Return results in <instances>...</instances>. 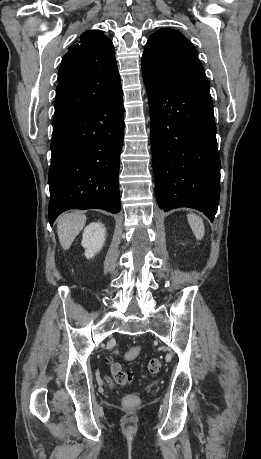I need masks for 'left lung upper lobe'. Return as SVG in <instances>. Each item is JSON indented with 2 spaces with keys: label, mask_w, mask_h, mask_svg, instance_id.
Here are the masks:
<instances>
[{
  "label": "left lung upper lobe",
  "mask_w": 261,
  "mask_h": 459,
  "mask_svg": "<svg viewBox=\"0 0 261 459\" xmlns=\"http://www.w3.org/2000/svg\"><path fill=\"white\" fill-rule=\"evenodd\" d=\"M142 72L177 86L208 88L204 68L192 43L179 31L161 29L150 36L141 59Z\"/></svg>",
  "instance_id": "5c2ea615"
}]
</instances>
